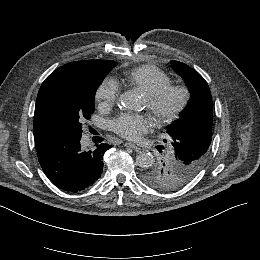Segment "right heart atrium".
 I'll return each instance as SVG.
<instances>
[{
  "label": "right heart atrium",
  "mask_w": 260,
  "mask_h": 260,
  "mask_svg": "<svg viewBox=\"0 0 260 260\" xmlns=\"http://www.w3.org/2000/svg\"><path fill=\"white\" fill-rule=\"evenodd\" d=\"M119 93V86L112 78H104L96 88L95 98L103 106L110 107L115 102Z\"/></svg>",
  "instance_id": "right-heart-atrium-1"
}]
</instances>
